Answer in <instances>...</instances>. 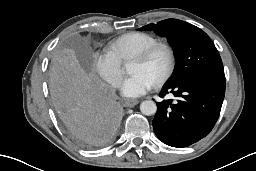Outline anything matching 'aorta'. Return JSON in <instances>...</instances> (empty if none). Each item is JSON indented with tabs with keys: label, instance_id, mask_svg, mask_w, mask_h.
<instances>
[{
	"label": "aorta",
	"instance_id": "aorta-1",
	"mask_svg": "<svg viewBox=\"0 0 256 171\" xmlns=\"http://www.w3.org/2000/svg\"><path fill=\"white\" fill-rule=\"evenodd\" d=\"M140 110L144 115L150 116L156 113L157 106L152 100H145L140 104Z\"/></svg>",
	"mask_w": 256,
	"mask_h": 171
}]
</instances>
